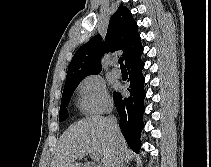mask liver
<instances>
[{
    "label": "liver",
    "instance_id": "liver-1",
    "mask_svg": "<svg viewBox=\"0 0 211 167\" xmlns=\"http://www.w3.org/2000/svg\"><path fill=\"white\" fill-rule=\"evenodd\" d=\"M126 150L120 130L113 133L108 118L92 116L78 121L62 135L50 167H81L76 160L91 153L100 155L101 167H112L117 152Z\"/></svg>",
    "mask_w": 211,
    "mask_h": 167
}]
</instances>
